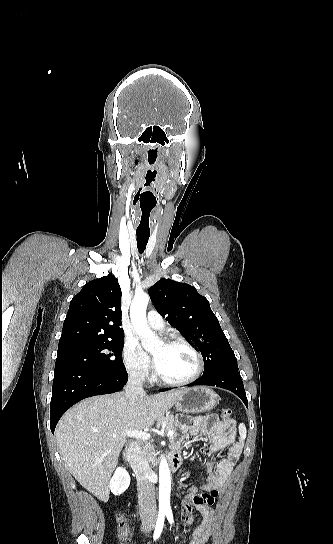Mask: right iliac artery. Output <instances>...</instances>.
<instances>
[{
    "mask_svg": "<svg viewBox=\"0 0 333 544\" xmlns=\"http://www.w3.org/2000/svg\"><path fill=\"white\" fill-rule=\"evenodd\" d=\"M164 520H165V513L160 512L158 515L157 523L154 530V535H153L154 540H157L160 537L163 530V526H164Z\"/></svg>",
    "mask_w": 333,
    "mask_h": 544,
    "instance_id": "right-iliac-artery-1",
    "label": "right iliac artery"
}]
</instances>
